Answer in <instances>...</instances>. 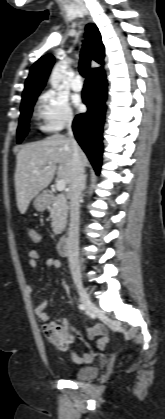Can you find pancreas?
I'll use <instances>...</instances> for the list:
<instances>
[{
  "mask_svg": "<svg viewBox=\"0 0 165 419\" xmlns=\"http://www.w3.org/2000/svg\"><path fill=\"white\" fill-rule=\"evenodd\" d=\"M52 218V228L54 234H60L67 222L68 205L67 199L63 195L53 196L51 206L48 208Z\"/></svg>",
  "mask_w": 165,
  "mask_h": 419,
  "instance_id": "1",
  "label": "pancreas"
}]
</instances>
